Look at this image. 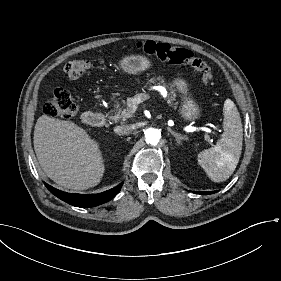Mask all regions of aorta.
<instances>
[{"instance_id":"762f6f07","label":"aorta","mask_w":281,"mask_h":281,"mask_svg":"<svg viewBox=\"0 0 281 281\" xmlns=\"http://www.w3.org/2000/svg\"><path fill=\"white\" fill-rule=\"evenodd\" d=\"M160 137L161 133L158 129L148 128L145 130V140L148 144L157 145Z\"/></svg>"}]
</instances>
